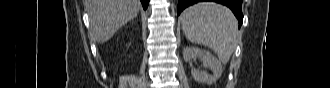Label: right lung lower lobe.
I'll use <instances>...</instances> for the list:
<instances>
[{"instance_id": "1", "label": "right lung lower lobe", "mask_w": 330, "mask_h": 88, "mask_svg": "<svg viewBox=\"0 0 330 88\" xmlns=\"http://www.w3.org/2000/svg\"><path fill=\"white\" fill-rule=\"evenodd\" d=\"M141 2H142V5H143V8L147 9L149 0H141Z\"/></svg>"}]
</instances>
